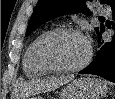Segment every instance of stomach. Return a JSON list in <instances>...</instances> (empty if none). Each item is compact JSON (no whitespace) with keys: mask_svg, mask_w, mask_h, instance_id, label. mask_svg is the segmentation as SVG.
Instances as JSON below:
<instances>
[{"mask_svg":"<svg viewBox=\"0 0 115 99\" xmlns=\"http://www.w3.org/2000/svg\"><path fill=\"white\" fill-rule=\"evenodd\" d=\"M106 83L98 78H78L69 82L60 92V99H100L106 93ZM28 99H45L30 96Z\"/></svg>","mask_w":115,"mask_h":99,"instance_id":"stomach-1","label":"stomach"}]
</instances>
